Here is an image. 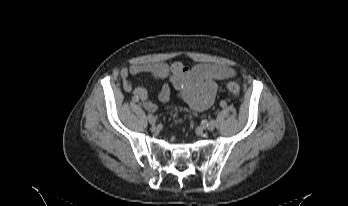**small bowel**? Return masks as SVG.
<instances>
[{"instance_id": "1", "label": "small bowel", "mask_w": 348, "mask_h": 206, "mask_svg": "<svg viewBox=\"0 0 348 206\" xmlns=\"http://www.w3.org/2000/svg\"><path fill=\"white\" fill-rule=\"evenodd\" d=\"M147 73L162 83L159 100L167 103L171 97V86L178 92L180 98L194 111L208 109L214 102L217 81L235 76L236 72L221 65L198 64L189 67L183 63L167 64H133L120 71L122 86L131 92L134 100L140 101L149 112H155L157 105L149 99L148 92L143 87H134L130 76Z\"/></svg>"}]
</instances>
